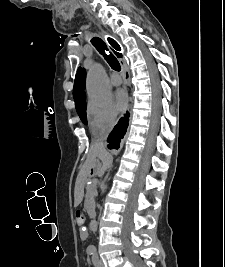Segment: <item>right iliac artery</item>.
<instances>
[{
	"mask_svg": "<svg viewBox=\"0 0 225 267\" xmlns=\"http://www.w3.org/2000/svg\"><path fill=\"white\" fill-rule=\"evenodd\" d=\"M87 253H88L89 255H92V254L94 253V250H93L92 248H88V249H87Z\"/></svg>",
	"mask_w": 225,
	"mask_h": 267,
	"instance_id": "82829eb1",
	"label": "right iliac artery"
}]
</instances>
